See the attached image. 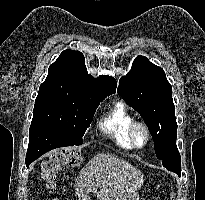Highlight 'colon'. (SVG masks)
Instances as JSON below:
<instances>
[{
    "label": "colon",
    "mask_w": 205,
    "mask_h": 200,
    "mask_svg": "<svg viewBox=\"0 0 205 200\" xmlns=\"http://www.w3.org/2000/svg\"><path fill=\"white\" fill-rule=\"evenodd\" d=\"M81 162L80 152L73 147L54 152L42 165V177L45 187L53 188L56 174L68 167H76Z\"/></svg>",
    "instance_id": "1"
}]
</instances>
